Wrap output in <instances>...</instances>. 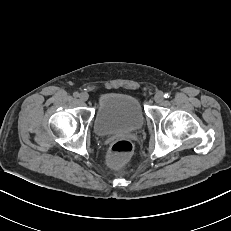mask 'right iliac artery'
I'll return each mask as SVG.
<instances>
[{"label":"right iliac artery","mask_w":231,"mask_h":231,"mask_svg":"<svg viewBox=\"0 0 231 231\" xmlns=\"http://www.w3.org/2000/svg\"><path fill=\"white\" fill-rule=\"evenodd\" d=\"M73 96H74V97H79V93H78V92H74V93H73Z\"/></svg>","instance_id":"obj_1"}]
</instances>
